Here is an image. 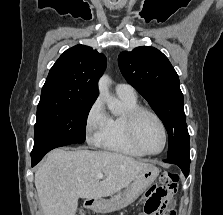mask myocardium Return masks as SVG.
<instances>
[{
	"label": "myocardium",
	"mask_w": 223,
	"mask_h": 215,
	"mask_svg": "<svg viewBox=\"0 0 223 215\" xmlns=\"http://www.w3.org/2000/svg\"><path fill=\"white\" fill-rule=\"evenodd\" d=\"M144 115H148L150 117H152L158 124L160 130H161V134H162V144L161 147L154 152H144L142 150H140L138 143H137V139H136V129H137V124L140 120V118ZM127 134H128V140L131 143V145L136 149V151L138 152L139 155L141 156H156L159 155L165 148L166 145V139H167V135H166V129L165 126L162 122V120L159 118V116L157 114H155L153 111L143 108V107H139L136 110L132 111L127 118Z\"/></svg>",
	"instance_id": "f54148a6"
}]
</instances>
